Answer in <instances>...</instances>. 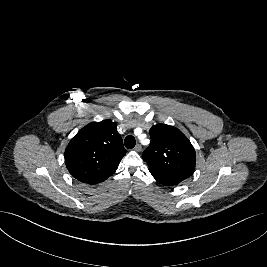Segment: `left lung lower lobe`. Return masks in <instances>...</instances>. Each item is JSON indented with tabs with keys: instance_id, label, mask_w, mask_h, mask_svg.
<instances>
[{
	"instance_id": "1",
	"label": "left lung lower lobe",
	"mask_w": 267,
	"mask_h": 267,
	"mask_svg": "<svg viewBox=\"0 0 267 267\" xmlns=\"http://www.w3.org/2000/svg\"><path fill=\"white\" fill-rule=\"evenodd\" d=\"M153 177L155 178V180L158 183H160L162 185H166V186L177 185V184H179L181 182V181H178V180H174V179H170V178H164V177H160V176H157V175H153Z\"/></svg>"
}]
</instances>
